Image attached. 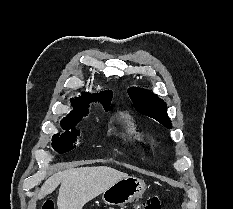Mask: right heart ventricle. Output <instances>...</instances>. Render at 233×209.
Here are the masks:
<instances>
[{
    "label": "right heart ventricle",
    "instance_id": "1",
    "mask_svg": "<svg viewBox=\"0 0 233 209\" xmlns=\"http://www.w3.org/2000/svg\"><path fill=\"white\" fill-rule=\"evenodd\" d=\"M124 119H125V132L127 136L132 140H134L140 146H144L145 139L142 133L140 132V130L138 129L134 120L128 115H125Z\"/></svg>",
    "mask_w": 233,
    "mask_h": 209
}]
</instances>
